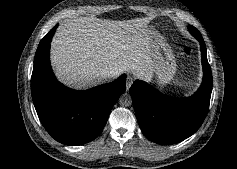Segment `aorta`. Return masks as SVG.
Masks as SVG:
<instances>
[{
    "label": "aorta",
    "instance_id": "1",
    "mask_svg": "<svg viewBox=\"0 0 237 169\" xmlns=\"http://www.w3.org/2000/svg\"><path fill=\"white\" fill-rule=\"evenodd\" d=\"M131 102H132V99L129 94H123L119 99V103L122 106H129Z\"/></svg>",
    "mask_w": 237,
    "mask_h": 169
}]
</instances>
